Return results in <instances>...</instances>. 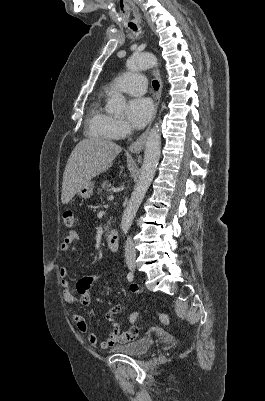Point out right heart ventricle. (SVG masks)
<instances>
[{
    "instance_id": "e07e8e85",
    "label": "right heart ventricle",
    "mask_w": 265,
    "mask_h": 401,
    "mask_svg": "<svg viewBox=\"0 0 265 401\" xmlns=\"http://www.w3.org/2000/svg\"><path fill=\"white\" fill-rule=\"evenodd\" d=\"M110 92L107 88L104 92H96L89 98L87 108V127L89 133L104 141H114L120 139L115 136L112 129L114 119L107 110V96Z\"/></svg>"
}]
</instances>
